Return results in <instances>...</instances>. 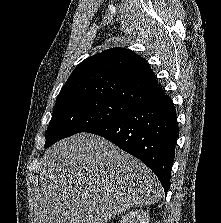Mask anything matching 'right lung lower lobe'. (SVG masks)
Returning <instances> with one entry per match:
<instances>
[{"mask_svg":"<svg viewBox=\"0 0 221 223\" xmlns=\"http://www.w3.org/2000/svg\"><path fill=\"white\" fill-rule=\"evenodd\" d=\"M85 132L106 138L144 162L156 174L167 194L179 136L176 111L170 97L162 94L136 104Z\"/></svg>","mask_w":221,"mask_h":223,"instance_id":"obj_1","label":"right lung lower lobe"}]
</instances>
